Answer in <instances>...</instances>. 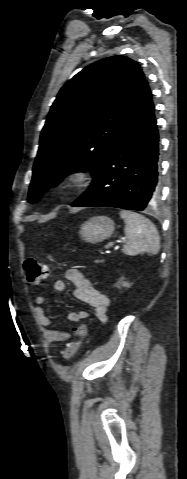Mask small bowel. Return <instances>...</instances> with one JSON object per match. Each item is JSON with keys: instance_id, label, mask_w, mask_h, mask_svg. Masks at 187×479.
<instances>
[{"instance_id": "1", "label": "small bowel", "mask_w": 187, "mask_h": 479, "mask_svg": "<svg viewBox=\"0 0 187 479\" xmlns=\"http://www.w3.org/2000/svg\"><path fill=\"white\" fill-rule=\"evenodd\" d=\"M66 279L70 281L74 286L73 297L91 306L94 311L97 319L101 323L107 321V312L110 306L109 298L97 289L89 278L83 274L78 269H68L66 271ZM54 291L62 293L66 290V284L63 280H57L53 285ZM48 297L46 295H38L35 298V316L39 323L44 326L45 333L47 338L53 342L62 341L65 338V333L58 331L51 327L50 319L45 315L43 305L47 302ZM89 317V314L85 310H79L76 312H71L68 316V319L73 323H79L83 320H86Z\"/></svg>"}]
</instances>
